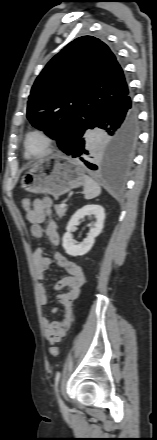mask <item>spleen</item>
Here are the masks:
<instances>
[{
	"mask_svg": "<svg viewBox=\"0 0 157 440\" xmlns=\"http://www.w3.org/2000/svg\"><path fill=\"white\" fill-rule=\"evenodd\" d=\"M101 193V188L98 183H96L88 175H84V196L85 199L90 200L98 197Z\"/></svg>",
	"mask_w": 157,
	"mask_h": 440,
	"instance_id": "spleen-1",
	"label": "spleen"
}]
</instances>
